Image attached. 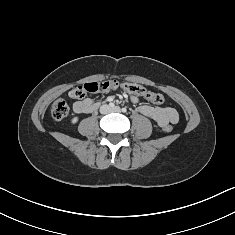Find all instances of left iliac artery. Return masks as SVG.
<instances>
[{"instance_id": "44dca946", "label": "left iliac artery", "mask_w": 235, "mask_h": 235, "mask_svg": "<svg viewBox=\"0 0 235 235\" xmlns=\"http://www.w3.org/2000/svg\"><path fill=\"white\" fill-rule=\"evenodd\" d=\"M127 110H126V108H122V112H126Z\"/></svg>"}]
</instances>
